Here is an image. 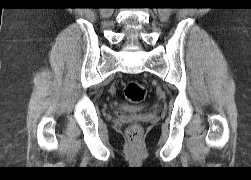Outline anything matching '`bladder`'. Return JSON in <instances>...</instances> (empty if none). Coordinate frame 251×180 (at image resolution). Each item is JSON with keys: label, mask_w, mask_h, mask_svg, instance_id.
I'll use <instances>...</instances> for the list:
<instances>
[{"label": "bladder", "mask_w": 251, "mask_h": 180, "mask_svg": "<svg viewBox=\"0 0 251 180\" xmlns=\"http://www.w3.org/2000/svg\"><path fill=\"white\" fill-rule=\"evenodd\" d=\"M121 109L124 110V111H128V112H135V111L140 110L141 108H139V107H131V106H124Z\"/></svg>", "instance_id": "obj_1"}]
</instances>
